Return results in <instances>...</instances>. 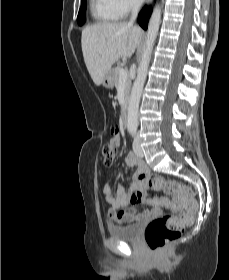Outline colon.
Returning <instances> with one entry per match:
<instances>
[{
  "label": "colon",
  "mask_w": 229,
  "mask_h": 280,
  "mask_svg": "<svg viewBox=\"0 0 229 280\" xmlns=\"http://www.w3.org/2000/svg\"><path fill=\"white\" fill-rule=\"evenodd\" d=\"M117 128H114V131ZM104 163L107 166L112 165L115 159V149L113 146L104 145L103 150ZM141 180L146 181L151 188L163 189L168 195L172 196L174 201L180 207V214H167L152 220L145 230V240L152 252L162 251L171 241L175 240L183 231L185 226L191 222L198 203L194 197L193 190L176 180H165L160 175L140 176ZM142 194L136 193L131 198L133 203H141Z\"/></svg>",
  "instance_id": "colon-1"
}]
</instances>
